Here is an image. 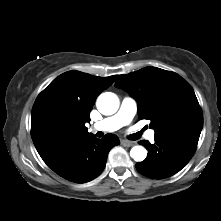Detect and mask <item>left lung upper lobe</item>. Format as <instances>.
<instances>
[{"mask_svg":"<svg viewBox=\"0 0 221 221\" xmlns=\"http://www.w3.org/2000/svg\"><path fill=\"white\" fill-rule=\"evenodd\" d=\"M115 86L136 99L139 119L151 121L155 137L201 133L203 114L190 84L174 72L145 67L120 75Z\"/></svg>","mask_w":221,"mask_h":221,"instance_id":"left-lung-upper-lobe-1","label":"left lung upper lobe"}]
</instances>
